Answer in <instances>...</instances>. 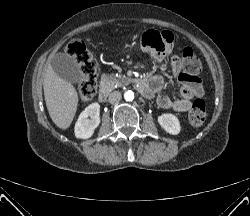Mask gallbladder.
<instances>
[{"mask_svg": "<svg viewBox=\"0 0 250 216\" xmlns=\"http://www.w3.org/2000/svg\"><path fill=\"white\" fill-rule=\"evenodd\" d=\"M54 72L63 80L78 83L82 79V71L75 61L64 53H57L50 62Z\"/></svg>", "mask_w": 250, "mask_h": 216, "instance_id": "gallbladder-1", "label": "gallbladder"}]
</instances>
